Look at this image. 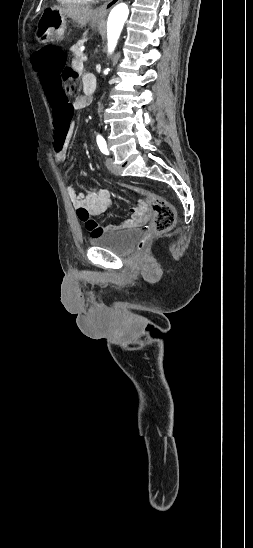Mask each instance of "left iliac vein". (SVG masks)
<instances>
[{"mask_svg":"<svg viewBox=\"0 0 253 548\" xmlns=\"http://www.w3.org/2000/svg\"><path fill=\"white\" fill-rule=\"evenodd\" d=\"M106 166L107 168L114 174H117L118 173V170H117V167L114 163V159L109 157L106 159Z\"/></svg>","mask_w":253,"mask_h":548,"instance_id":"4c4485c4","label":"left iliac vein"}]
</instances>
